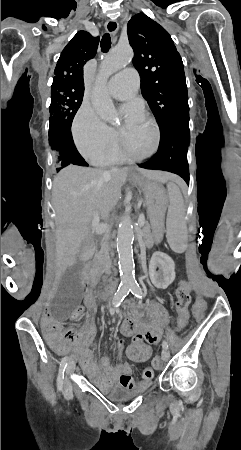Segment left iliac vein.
Here are the masks:
<instances>
[{"instance_id": "left-iliac-vein-1", "label": "left iliac vein", "mask_w": 241, "mask_h": 450, "mask_svg": "<svg viewBox=\"0 0 241 450\" xmlns=\"http://www.w3.org/2000/svg\"><path fill=\"white\" fill-rule=\"evenodd\" d=\"M169 357H170V353H169L168 349L164 348L162 351V360L166 362L169 359Z\"/></svg>"}]
</instances>
